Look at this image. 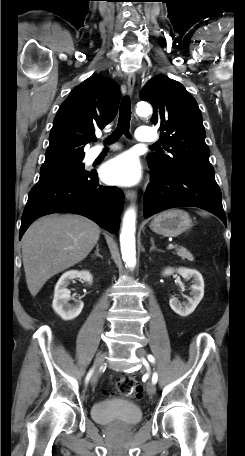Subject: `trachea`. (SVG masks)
I'll list each match as a JSON object with an SVG mask.
<instances>
[{
    "mask_svg": "<svg viewBox=\"0 0 245 456\" xmlns=\"http://www.w3.org/2000/svg\"><path fill=\"white\" fill-rule=\"evenodd\" d=\"M131 120V105L128 97H125L120 105L118 125L114 133L108 138V142L117 141L123 134L128 135ZM95 141V139H92Z\"/></svg>",
    "mask_w": 245,
    "mask_h": 456,
    "instance_id": "obj_1",
    "label": "trachea"
}]
</instances>
